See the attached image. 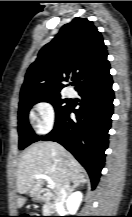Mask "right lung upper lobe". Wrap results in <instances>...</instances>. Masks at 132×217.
Here are the masks:
<instances>
[{
	"label": "right lung upper lobe",
	"instance_id": "1",
	"mask_svg": "<svg viewBox=\"0 0 132 217\" xmlns=\"http://www.w3.org/2000/svg\"><path fill=\"white\" fill-rule=\"evenodd\" d=\"M107 55L93 22L74 18L39 51L26 73L20 98L60 94L62 82L68 79L76 90L101 83L111 77Z\"/></svg>",
	"mask_w": 132,
	"mask_h": 217
}]
</instances>
